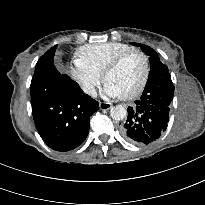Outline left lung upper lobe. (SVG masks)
Returning <instances> with one entry per match:
<instances>
[{"label": "left lung upper lobe", "mask_w": 205, "mask_h": 205, "mask_svg": "<svg viewBox=\"0 0 205 205\" xmlns=\"http://www.w3.org/2000/svg\"><path fill=\"white\" fill-rule=\"evenodd\" d=\"M130 44L140 46L142 51L150 56L151 70L140 99L170 105L173 99L174 85L167 66L161 63L158 54L151 47L134 42Z\"/></svg>", "instance_id": "1"}]
</instances>
